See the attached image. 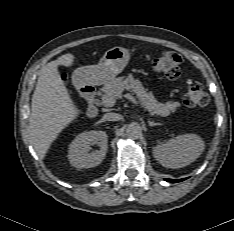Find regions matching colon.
<instances>
[{"label": "colon", "mask_w": 234, "mask_h": 231, "mask_svg": "<svg viewBox=\"0 0 234 231\" xmlns=\"http://www.w3.org/2000/svg\"><path fill=\"white\" fill-rule=\"evenodd\" d=\"M152 67L167 78L176 79L180 75L181 58L174 52L165 51L153 59ZM183 103L188 108L204 107L208 103V96L199 83L191 82L184 95Z\"/></svg>", "instance_id": "1"}]
</instances>
